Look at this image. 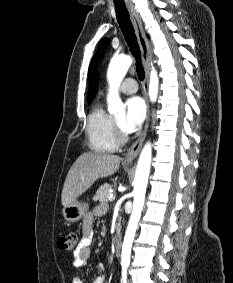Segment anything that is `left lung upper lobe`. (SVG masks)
Wrapping results in <instances>:
<instances>
[{"instance_id": "1", "label": "left lung upper lobe", "mask_w": 233, "mask_h": 283, "mask_svg": "<svg viewBox=\"0 0 233 283\" xmlns=\"http://www.w3.org/2000/svg\"><path fill=\"white\" fill-rule=\"evenodd\" d=\"M108 42H109V39L108 38H105V39H103L101 42H100V44H99V46H98V49H97V54L98 55H100L103 51H104V49H105V47H106V45L108 44ZM95 57L92 59V62H91V64H90V67H89V73H90V71H91V69H92V66H93V64H94V62H95Z\"/></svg>"}]
</instances>
